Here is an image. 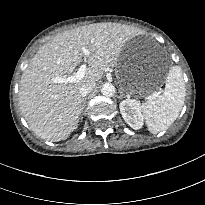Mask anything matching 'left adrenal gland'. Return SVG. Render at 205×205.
<instances>
[{
  "label": "left adrenal gland",
  "instance_id": "a2214340",
  "mask_svg": "<svg viewBox=\"0 0 205 205\" xmlns=\"http://www.w3.org/2000/svg\"><path fill=\"white\" fill-rule=\"evenodd\" d=\"M123 97H126V96H125V94L123 93V91H120L119 99H122Z\"/></svg>",
  "mask_w": 205,
  "mask_h": 205
}]
</instances>
